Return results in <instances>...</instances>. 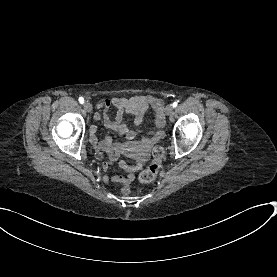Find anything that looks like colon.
Wrapping results in <instances>:
<instances>
[{
  "label": "colon",
  "mask_w": 277,
  "mask_h": 277,
  "mask_svg": "<svg viewBox=\"0 0 277 277\" xmlns=\"http://www.w3.org/2000/svg\"><path fill=\"white\" fill-rule=\"evenodd\" d=\"M163 159V149L156 148L154 150L153 160L151 164L147 167L146 170L141 172L139 179L143 183H150L152 182L158 175V172L161 168V163ZM123 191L125 188L122 189Z\"/></svg>",
  "instance_id": "1"
}]
</instances>
